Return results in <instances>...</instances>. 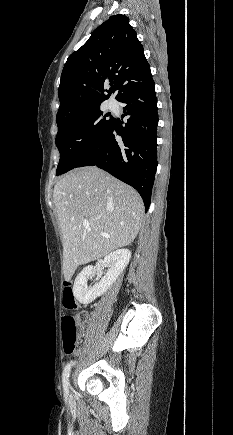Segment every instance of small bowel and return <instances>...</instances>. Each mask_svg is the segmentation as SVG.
<instances>
[{"label":"small bowel","instance_id":"c3829d8e","mask_svg":"<svg viewBox=\"0 0 233 435\" xmlns=\"http://www.w3.org/2000/svg\"><path fill=\"white\" fill-rule=\"evenodd\" d=\"M83 334V329H81V332H80V335H82Z\"/></svg>","mask_w":233,"mask_h":435}]
</instances>
